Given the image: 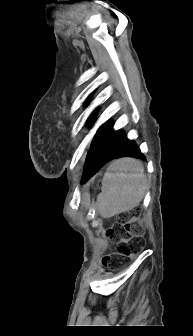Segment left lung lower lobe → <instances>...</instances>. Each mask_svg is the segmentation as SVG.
<instances>
[{"label":"left lung lower lobe","mask_w":193,"mask_h":336,"mask_svg":"<svg viewBox=\"0 0 193 336\" xmlns=\"http://www.w3.org/2000/svg\"><path fill=\"white\" fill-rule=\"evenodd\" d=\"M112 127L113 124L107 121L96 133L85 161L82 183L112 159L125 156L145 159L133 141H129L122 131H113Z\"/></svg>","instance_id":"left-lung-lower-lobe-1"}]
</instances>
